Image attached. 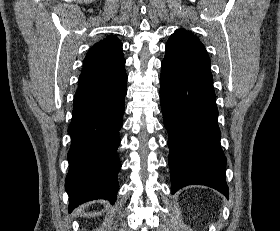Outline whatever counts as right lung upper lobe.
I'll use <instances>...</instances> for the list:
<instances>
[{"mask_svg": "<svg viewBox=\"0 0 280 231\" xmlns=\"http://www.w3.org/2000/svg\"><path fill=\"white\" fill-rule=\"evenodd\" d=\"M83 63L74 103L91 100L126 85L122 43L116 36L94 44Z\"/></svg>", "mask_w": 280, "mask_h": 231, "instance_id": "obj_1", "label": "right lung upper lobe"}]
</instances>
